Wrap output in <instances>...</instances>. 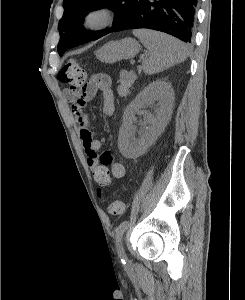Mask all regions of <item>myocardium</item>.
I'll return each mask as SVG.
<instances>
[{
	"instance_id": "obj_1",
	"label": "myocardium",
	"mask_w": 245,
	"mask_h": 300,
	"mask_svg": "<svg viewBox=\"0 0 245 300\" xmlns=\"http://www.w3.org/2000/svg\"><path fill=\"white\" fill-rule=\"evenodd\" d=\"M115 19V12L108 6H95L86 11L83 24L90 30H100L110 26Z\"/></svg>"
}]
</instances>
